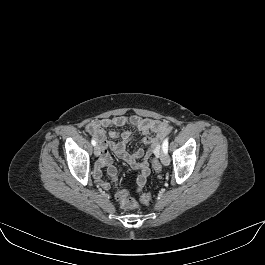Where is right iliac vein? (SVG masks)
Returning <instances> with one entry per match:
<instances>
[{
    "label": "right iliac vein",
    "instance_id": "obj_1",
    "mask_svg": "<svg viewBox=\"0 0 265 265\" xmlns=\"http://www.w3.org/2000/svg\"><path fill=\"white\" fill-rule=\"evenodd\" d=\"M100 153H101L100 146L99 145H95V147H94V154H95V156H99Z\"/></svg>",
    "mask_w": 265,
    "mask_h": 265
}]
</instances>
